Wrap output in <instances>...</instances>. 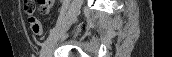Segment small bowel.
<instances>
[{
  "mask_svg": "<svg viewBox=\"0 0 172 57\" xmlns=\"http://www.w3.org/2000/svg\"><path fill=\"white\" fill-rule=\"evenodd\" d=\"M54 1L53 0H44L43 2L40 3L39 9L41 13L47 14L50 9L53 7ZM28 7V1H25L24 8Z\"/></svg>",
  "mask_w": 172,
  "mask_h": 57,
  "instance_id": "1",
  "label": "small bowel"
}]
</instances>
